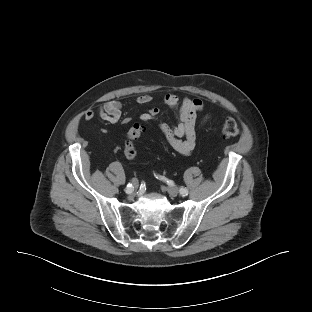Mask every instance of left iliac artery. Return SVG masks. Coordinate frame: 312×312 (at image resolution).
Wrapping results in <instances>:
<instances>
[{"mask_svg":"<svg viewBox=\"0 0 312 312\" xmlns=\"http://www.w3.org/2000/svg\"><path fill=\"white\" fill-rule=\"evenodd\" d=\"M180 193L183 195V196H186L188 195V190L186 188H181L180 189Z\"/></svg>","mask_w":312,"mask_h":312,"instance_id":"left-iliac-artery-1","label":"left iliac artery"}]
</instances>
